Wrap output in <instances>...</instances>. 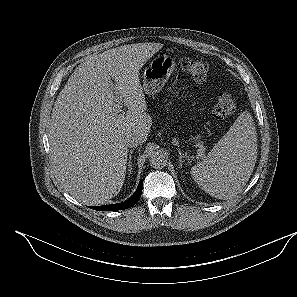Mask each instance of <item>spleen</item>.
<instances>
[{"label":"spleen","mask_w":297,"mask_h":297,"mask_svg":"<svg viewBox=\"0 0 297 297\" xmlns=\"http://www.w3.org/2000/svg\"><path fill=\"white\" fill-rule=\"evenodd\" d=\"M256 159V127L251 114L244 111L190 173L205 192L218 199H229L242 191Z\"/></svg>","instance_id":"1"}]
</instances>
